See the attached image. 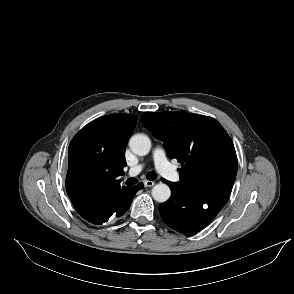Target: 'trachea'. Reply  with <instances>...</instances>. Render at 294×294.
Instances as JSON below:
<instances>
[{
  "label": "trachea",
  "instance_id": "1",
  "mask_svg": "<svg viewBox=\"0 0 294 294\" xmlns=\"http://www.w3.org/2000/svg\"><path fill=\"white\" fill-rule=\"evenodd\" d=\"M146 177L148 180L150 181H154L157 179V173L155 171H149L147 174H146ZM138 182L137 179L135 178H129L127 181H126V184L127 185H134Z\"/></svg>",
  "mask_w": 294,
  "mask_h": 294
}]
</instances>
